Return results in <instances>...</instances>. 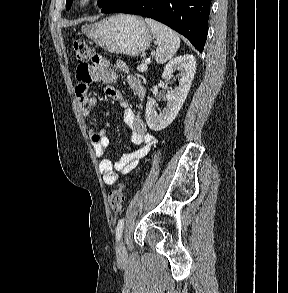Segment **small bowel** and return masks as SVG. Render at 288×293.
<instances>
[{
	"mask_svg": "<svg viewBox=\"0 0 288 293\" xmlns=\"http://www.w3.org/2000/svg\"><path fill=\"white\" fill-rule=\"evenodd\" d=\"M115 66L118 71L126 74L129 88L134 92L137 100L142 102L146 97V89L141 80L128 73V68L123 61H115ZM76 77L79 81L76 95L81 114L89 117L91 110L97 105L96 97L89 95L90 84L102 82L106 85L105 94L120 102L121 106L125 108L124 121L131 131V142L139 146L137 150L123 155L115 164L108 158L101 159L99 168L103 180L106 184L112 185L118 180L119 174H127L138 165L157 143V139L148 132L139 110L129 108L120 91L110 85L118 79V73L111 69V63L106 57L96 54L91 65L80 64L77 67ZM90 139L97 156L103 157L110 142L105 130L103 128L91 129Z\"/></svg>",
	"mask_w": 288,
	"mask_h": 293,
	"instance_id": "obj_1",
	"label": "small bowel"
}]
</instances>
